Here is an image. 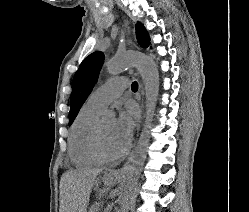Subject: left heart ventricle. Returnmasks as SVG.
<instances>
[{"label": "left heart ventricle", "instance_id": "b2bd125f", "mask_svg": "<svg viewBox=\"0 0 249 212\" xmlns=\"http://www.w3.org/2000/svg\"><path fill=\"white\" fill-rule=\"evenodd\" d=\"M113 119H101L100 123V143L101 147L109 155L121 153L113 141Z\"/></svg>", "mask_w": 249, "mask_h": 212}]
</instances>
